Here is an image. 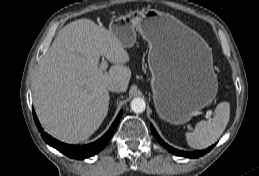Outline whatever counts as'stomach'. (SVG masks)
Segmentation results:
<instances>
[{
  "instance_id": "stomach-1",
  "label": "stomach",
  "mask_w": 259,
  "mask_h": 176,
  "mask_svg": "<svg viewBox=\"0 0 259 176\" xmlns=\"http://www.w3.org/2000/svg\"><path fill=\"white\" fill-rule=\"evenodd\" d=\"M109 31L126 48L135 43L136 31L148 42L154 104L163 120L186 123L215 99L217 80L204 44L173 16L153 9L130 11L112 20Z\"/></svg>"
}]
</instances>
